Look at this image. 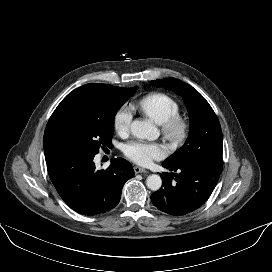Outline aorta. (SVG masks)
Returning <instances> with one entry per match:
<instances>
[{"instance_id": "aorta-1", "label": "aorta", "mask_w": 272, "mask_h": 272, "mask_svg": "<svg viewBox=\"0 0 272 272\" xmlns=\"http://www.w3.org/2000/svg\"><path fill=\"white\" fill-rule=\"evenodd\" d=\"M132 134L140 139L155 140L159 136L158 129L149 121L134 120L131 123ZM147 187L152 191H158L162 186V179L159 175L152 174L147 177Z\"/></svg>"}]
</instances>
